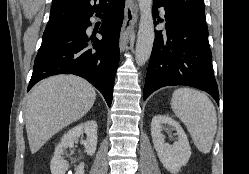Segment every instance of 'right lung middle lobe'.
Listing matches in <instances>:
<instances>
[{
    "label": "right lung middle lobe",
    "mask_w": 249,
    "mask_h": 174,
    "mask_svg": "<svg viewBox=\"0 0 249 174\" xmlns=\"http://www.w3.org/2000/svg\"><path fill=\"white\" fill-rule=\"evenodd\" d=\"M56 27V26H55ZM55 27H46L43 34V40L46 39Z\"/></svg>",
    "instance_id": "1"
}]
</instances>
